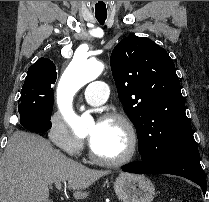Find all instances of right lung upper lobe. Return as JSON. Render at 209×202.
<instances>
[{
  "label": "right lung upper lobe",
  "mask_w": 209,
  "mask_h": 202,
  "mask_svg": "<svg viewBox=\"0 0 209 202\" xmlns=\"http://www.w3.org/2000/svg\"><path fill=\"white\" fill-rule=\"evenodd\" d=\"M35 75H56V66L48 58H39L32 66L29 67L26 78Z\"/></svg>",
  "instance_id": "right-lung-upper-lobe-1"
}]
</instances>
